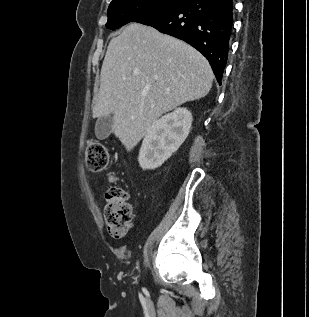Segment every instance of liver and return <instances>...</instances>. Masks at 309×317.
Instances as JSON below:
<instances>
[{"mask_svg": "<svg viewBox=\"0 0 309 317\" xmlns=\"http://www.w3.org/2000/svg\"><path fill=\"white\" fill-rule=\"evenodd\" d=\"M213 77L205 57L187 43L130 23L108 45L92 117L112 114V132L130 151L162 114L205 97Z\"/></svg>", "mask_w": 309, "mask_h": 317, "instance_id": "6515ba94", "label": "liver"}]
</instances>
